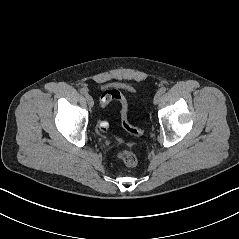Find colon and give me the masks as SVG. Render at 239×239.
Wrapping results in <instances>:
<instances>
[{"mask_svg":"<svg viewBox=\"0 0 239 239\" xmlns=\"http://www.w3.org/2000/svg\"><path fill=\"white\" fill-rule=\"evenodd\" d=\"M111 100H117L120 103L121 107V124L123 128L131 135L139 136L143 133V129L139 127L132 126L127 118V103L124 97L120 94L119 91L114 89H108L104 91L101 99L102 105H106ZM99 126L102 130H106L108 127V123L104 120L99 122ZM119 142H123L121 139H118ZM127 145L132 148V143H127ZM118 159L126 166L133 167L137 164L138 158L134 151L132 150H120L117 154Z\"/></svg>","mask_w":239,"mask_h":239,"instance_id":"1","label":"colon"}]
</instances>
